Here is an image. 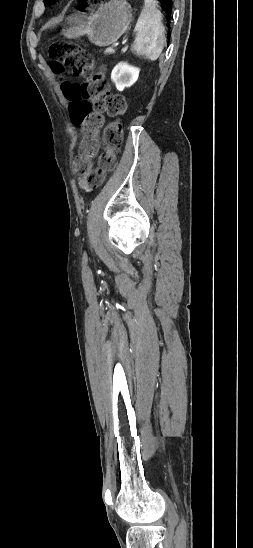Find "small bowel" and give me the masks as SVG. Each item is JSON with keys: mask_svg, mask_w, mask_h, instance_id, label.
<instances>
[{"mask_svg": "<svg viewBox=\"0 0 253 548\" xmlns=\"http://www.w3.org/2000/svg\"><path fill=\"white\" fill-rule=\"evenodd\" d=\"M79 185H80L81 188H83V189H85V190H89L88 184L85 182L84 179H81V180L79 181Z\"/></svg>", "mask_w": 253, "mask_h": 548, "instance_id": "small-bowel-1", "label": "small bowel"}]
</instances>
